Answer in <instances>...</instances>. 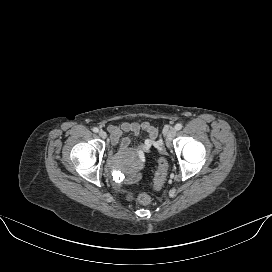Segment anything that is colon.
I'll list each match as a JSON object with an SVG mask.
<instances>
[{
	"label": "colon",
	"instance_id": "colon-1",
	"mask_svg": "<svg viewBox=\"0 0 272 272\" xmlns=\"http://www.w3.org/2000/svg\"><path fill=\"white\" fill-rule=\"evenodd\" d=\"M167 171H168L167 160L165 159L164 156H161L158 159V168L154 179L155 189H159L162 187L167 176ZM126 197L129 200L136 199L142 205H149L152 202V197L148 193H141L137 197H135L131 192H127Z\"/></svg>",
	"mask_w": 272,
	"mask_h": 272
}]
</instances>
